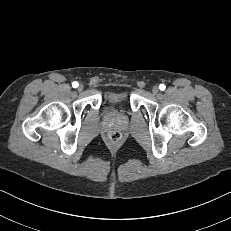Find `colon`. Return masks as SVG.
Instances as JSON below:
<instances>
[{
	"label": "colon",
	"instance_id": "obj_1",
	"mask_svg": "<svg viewBox=\"0 0 231 231\" xmlns=\"http://www.w3.org/2000/svg\"><path fill=\"white\" fill-rule=\"evenodd\" d=\"M109 139L113 143H117L121 139V134L118 131H113L109 134Z\"/></svg>",
	"mask_w": 231,
	"mask_h": 231
}]
</instances>
